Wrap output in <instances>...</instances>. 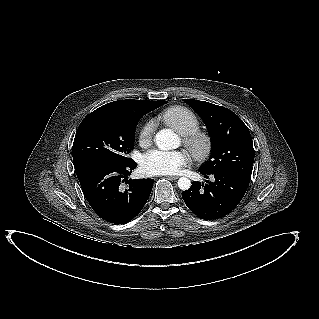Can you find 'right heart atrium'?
Returning <instances> with one entry per match:
<instances>
[{"label": "right heart atrium", "instance_id": "right-heart-atrium-1", "mask_svg": "<svg viewBox=\"0 0 319 319\" xmlns=\"http://www.w3.org/2000/svg\"><path fill=\"white\" fill-rule=\"evenodd\" d=\"M154 130V123L152 121L145 122L139 130L138 141L140 145L147 146L151 143Z\"/></svg>", "mask_w": 319, "mask_h": 319}]
</instances>
